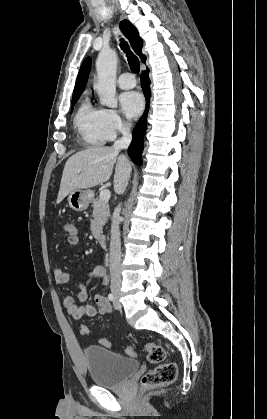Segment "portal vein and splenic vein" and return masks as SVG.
<instances>
[{
  "label": "portal vein and splenic vein",
  "mask_w": 267,
  "mask_h": 419,
  "mask_svg": "<svg viewBox=\"0 0 267 419\" xmlns=\"http://www.w3.org/2000/svg\"><path fill=\"white\" fill-rule=\"evenodd\" d=\"M110 196V191L108 189H105L100 192L99 198L103 201H108L110 199Z\"/></svg>",
  "instance_id": "1"
}]
</instances>
